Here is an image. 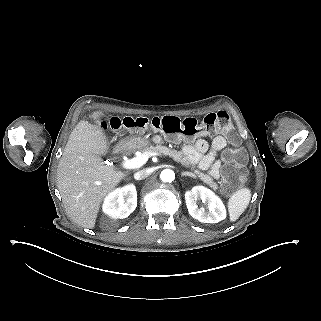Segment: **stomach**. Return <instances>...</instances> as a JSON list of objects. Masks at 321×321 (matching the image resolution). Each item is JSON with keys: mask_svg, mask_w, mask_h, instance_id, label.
Masks as SVG:
<instances>
[{"mask_svg": "<svg viewBox=\"0 0 321 321\" xmlns=\"http://www.w3.org/2000/svg\"><path fill=\"white\" fill-rule=\"evenodd\" d=\"M148 139L138 135H132L130 137L122 138L115 146L116 149L123 150L125 146L128 145H137V146H146L148 145Z\"/></svg>", "mask_w": 321, "mask_h": 321, "instance_id": "1", "label": "stomach"}]
</instances>
